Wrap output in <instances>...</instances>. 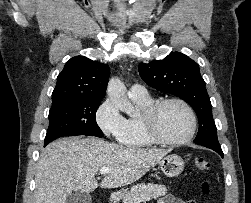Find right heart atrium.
<instances>
[{"label":"right heart atrium","mask_w":251,"mask_h":203,"mask_svg":"<svg viewBox=\"0 0 251 203\" xmlns=\"http://www.w3.org/2000/svg\"><path fill=\"white\" fill-rule=\"evenodd\" d=\"M95 120L101 131L110 138L118 139L125 129L126 119L110 99H106L99 106Z\"/></svg>","instance_id":"right-heart-atrium-1"}]
</instances>
